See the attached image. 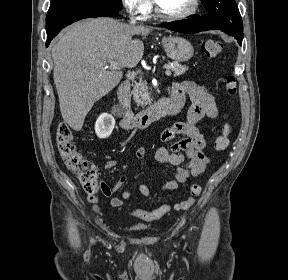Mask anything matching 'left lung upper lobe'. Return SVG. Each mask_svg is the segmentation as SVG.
<instances>
[{"mask_svg":"<svg viewBox=\"0 0 288 280\" xmlns=\"http://www.w3.org/2000/svg\"><path fill=\"white\" fill-rule=\"evenodd\" d=\"M201 1L209 11V14L205 15L206 19L217 25L220 29L243 38V23L235 0Z\"/></svg>","mask_w":288,"mask_h":280,"instance_id":"5c2ea615","label":"left lung upper lobe"}]
</instances>
